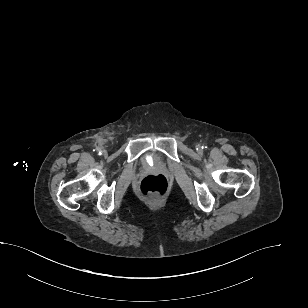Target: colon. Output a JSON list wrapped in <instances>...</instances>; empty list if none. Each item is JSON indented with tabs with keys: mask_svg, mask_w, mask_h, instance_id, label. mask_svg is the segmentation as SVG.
I'll use <instances>...</instances> for the list:
<instances>
[{
	"mask_svg": "<svg viewBox=\"0 0 308 308\" xmlns=\"http://www.w3.org/2000/svg\"><path fill=\"white\" fill-rule=\"evenodd\" d=\"M169 184L165 176L149 175L143 178L139 184L138 191L144 198L156 201L162 198L168 191Z\"/></svg>",
	"mask_w": 308,
	"mask_h": 308,
	"instance_id": "1",
	"label": "colon"
}]
</instances>
